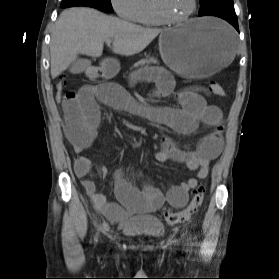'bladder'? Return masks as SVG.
Instances as JSON below:
<instances>
[{
    "mask_svg": "<svg viewBox=\"0 0 279 279\" xmlns=\"http://www.w3.org/2000/svg\"><path fill=\"white\" fill-rule=\"evenodd\" d=\"M122 230L134 237L158 238L163 234V223L153 215L128 217Z\"/></svg>",
    "mask_w": 279,
    "mask_h": 279,
    "instance_id": "31cf9c89",
    "label": "bladder"
}]
</instances>
